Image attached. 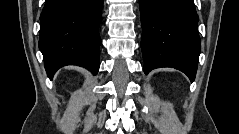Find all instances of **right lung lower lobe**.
<instances>
[{
    "mask_svg": "<svg viewBox=\"0 0 239 134\" xmlns=\"http://www.w3.org/2000/svg\"><path fill=\"white\" fill-rule=\"evenodd\" d=\"M102 6L103 0H46L39 49L49 78L72 64L98 73Z\"/></svg>",
    "mask_w": 239,
    "mask_h": 134,
    "instance_id": "98d812e1",
    "label": "right lung lower lobe"
}]
</instances>
